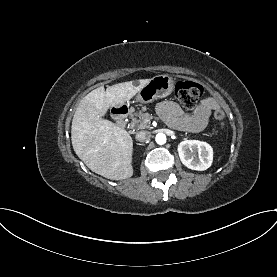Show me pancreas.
Returning <instances> with one entry per match:
<instances>
[{
  "instance_id": "1",
  "label": "pancreas",
  "mask_w": 277,
  "mask_h": 277,
  "mask_svg": "<svg viewBox=\"0 0 277 277\" xmlns=\"http://www.w3.org/2000/svg\"><path fill=\"white\" fill-rule=\"evenodd\" d=\"M146 108L142 107L139 112L134 113L131 125H136L138 129H145L148 127L147 121L150 119V114L145 112Z\"/></svg>"
}]
</instances>
